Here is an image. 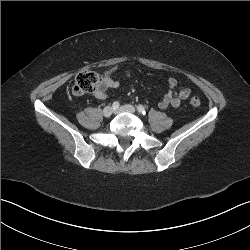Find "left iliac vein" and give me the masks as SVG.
Here are the masks:
<instances>
[{
	"label": "left iliac vein",
	"mask_w": 250,
	"mask_h": 250,
	"mask_svg": "<svg viewBox=\"0 0 250 250\" xmlns=\"http://www.w3.org/2000/svg\"><path fill=\"white\" fill-rule=\"evenodd\" d=\"M116 112L135 113L136 108L134 106H132V105H123Z\"/></svg>",
	"instance_id": "4c4485c4"
}]
</instances>
